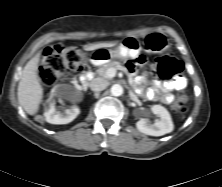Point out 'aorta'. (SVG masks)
Returning a JSON list of instances; mask_svg holds the SVG:
<instances>
[{
	"instance_id": "aorta-1",
	"label": "aorta",
	"mask_w": 222,
	"mask_h": 187,
	"mask_svg": "<svg viewBox=\"0 0 222 187\" xmlns=\"http://www.w3.org/2000/svg\"><path fill=\"white\" fill-rule=\"evenodd\" d=\"M110 92L113 96H121L123 94V87L119 84H114L111 87Z\"/></svg>"
}]
</instances>
